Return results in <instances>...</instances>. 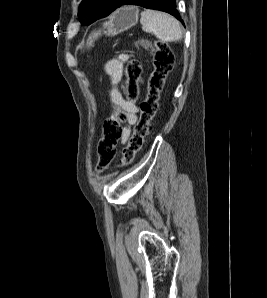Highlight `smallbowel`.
<instances>
[{"label":"small bowel","instance_id":"c3829d8e","mask_svg":"<svg viewBox=\"0 0 267 298\" xmlns=\"http://www.w3.org/2000/svg\"><path fill=\"white\" fill-rule=\"evenodd\" d=\"M129 55L121 53L115 59L105 65V72L111 83L110 104L113 114H123L125 120L121 128V140L125 142L131 133V126L137 121L139 107L135 101L125 96L123 91V64L128 60Z\"/></svg>","mask_w":267,"mask_h":298}]
</instances>
